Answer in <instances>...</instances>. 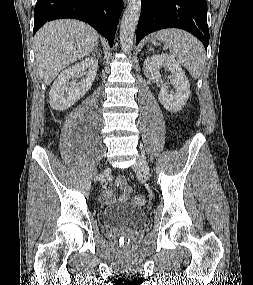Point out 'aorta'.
Listing matches in <instances>:
<instances>
[{"label": "aorta", "instance_id": "obj_1", "mask_svg": "<svg viewBox=\"0 0 253 285\" xmlns=\"http://www.w3.org/2000/svg\"><path fill=\"white\" fill-rule=\"evenodd\" d=\"M141 9V0H129L124 11L120 25V44L125 53L130 52L133 47L135 30L141 14Z\"/></svg>", "mask_w": 253, "mask_h": 285}]
</instances>
